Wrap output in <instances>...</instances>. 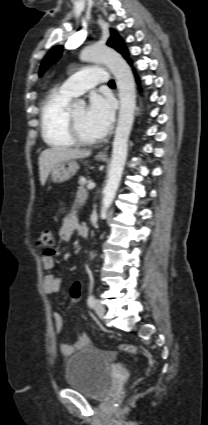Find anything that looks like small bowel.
<instances>
[{"label": "small bowel", "instance_id": "c3829d8e", "mask_svg": "<svg viewBox=\"0 0 208 425\" xmlns=\"http://www.w3.org/2000/svg\"><path fill=\"white\" fill-rule=\"evenodd\" d=\"M80 227H81V224L79 223L78 219L75 216L68 215L64 217L59 230L60 239L63 241H69L72 237L73 232L75 230L79 231ZM54 255L55 253L52 252V253H44V255L42 256L43 266L48 271L53 270V268L55 267ZM61 284H62L61 279L51 272L47 273L44 276L43 288L47 294L58 293L60 291ZM53 321L55 324L56 332L60 334L63 328L62 316L58 312L53 313ZM89 344H90L89 337L86 334H81L76 342L72 344H62L61 352L64 355H69L75 349L87 346Z\"/></svg>", "mask_w": 208, "mask_h": 425}]
</instances>
